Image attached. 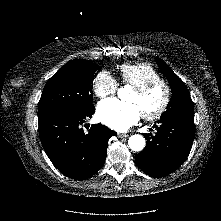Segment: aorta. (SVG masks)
Wrapping results in <instances>:
<instances>
[{"mask_svg":"<svg viewBox=\"0 0 221 221\" xmlns=\"http://www.w3.org/2000/svg\"><path fill=\"white\" fill-rule=\"evenodd\" d=\"M127 90H128V88H121L119 90V95L121 94V92H124V91H127ZM145 144H146V141H145L144 137L142 135H139V134L132 135L128 140L129 148L132 151H141V150H143L144 147H145Z\"/></svg>","mask_w":221,"mask_h":221,"instance_id":"762f6f07","label":"aorta"}]
</instances>
